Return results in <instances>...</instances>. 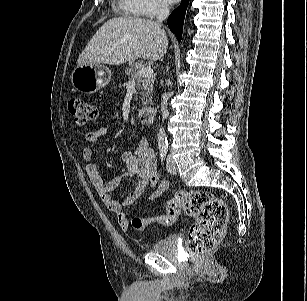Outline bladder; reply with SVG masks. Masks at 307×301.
<instances>
[{
    "label": "bladder",
    "mask_w": 307,
    "mask_h": 301,
    "mask_svg": "<svg viewBox=\"0 0 307 301\" xmlns=\"http://www.w3.org/2000/svg\"><path fill=\"white\" fill-rule=\"evenodd\" d=\"M180 238L181 236L177 233L159 238L153 243L151 250L164 257L177 259Z\"/></svg>",
    "instance_id": "31cf9c89"
}]
</instances>
